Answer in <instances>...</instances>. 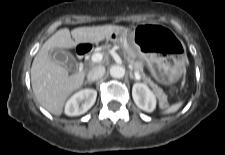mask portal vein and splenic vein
Here are the masks:
<instances>
[{"label":"portal vein and splenic vein","instance_id":"portal-vein-and-splenic-vein-1","mask_svg":"<svg viewBox=\"0 0 225 155\" xmlns=\"http://www.w3.org/2000/svg\"><path fill=\"white\" fill-rule=\"evenodd\" d=\"M103 59V54L102 53H94L91 57V60L93 62H100ZM135 77L139 80L140 79V74L138 72H135Z\"/></svg>","mask_w":225,"mask_h":155}]
</instances>
